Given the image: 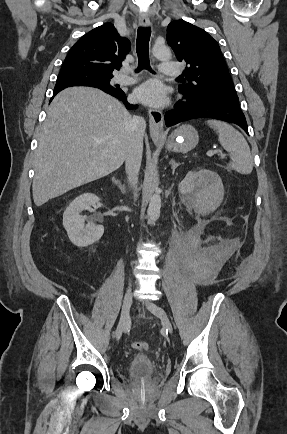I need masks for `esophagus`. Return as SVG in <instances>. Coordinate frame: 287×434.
Segmentation results:
<instances>
[{"label":"esophagus","mask_w":287,"mask_h":434,"mask_svg":"<svg viewBox=\"0 0 287 434\" xmlns=\"http://www.w3.org/2000/svg\"><path fill=\"white\" fill-rule=\"evenodd\" d=\"M139 24L143 27L150 26L149 17L146 14H141L139 16ZM149 113V127L150 135L153 140H158L161 138L163 132V114L160 110L150 109Z\"/></svg>","instance_id":"1"}]
</instances>
